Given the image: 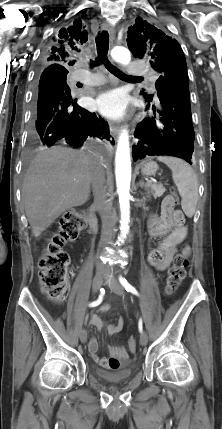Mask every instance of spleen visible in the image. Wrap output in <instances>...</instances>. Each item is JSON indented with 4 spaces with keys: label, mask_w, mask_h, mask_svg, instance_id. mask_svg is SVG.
<instances>
[{
    "label": "spleen",
    "mask_w": 222,
    "mask_h": 429,
    "mask_svg": "<svg viewBox=\"0 0 222 429\" xmlns=\"http://www.w3.org/2000/svg\"><path fill=\"white\" fill-rule=\"evenodd\" d=\"M157 160L166 164L172 171V178L182 198L181 207L191 218L198 202V180L194 170L185 161L169 156H159Z\"/></svg>",
    "instance_id": "obj_1"
}]
</instances>
